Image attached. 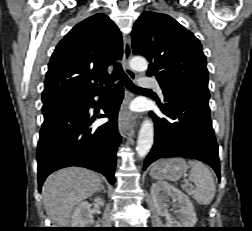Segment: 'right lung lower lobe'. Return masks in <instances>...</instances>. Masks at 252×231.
Listing matches in <instances>:
<instances>
[{"mask_svg":"<svg viewBox=\"0 0 252 231\" xmlns=\"http://www.w3.org/2000/svg\"><path fill=\"white\" fill-rule=\"evenodd\" d=\"M100 91L76 97L73 104L59 112L44 117L37 147L39 190L52 172L69 166H81L102 173L114 183L116 151L120 143L117 115L123 99L119 83L102 107L109 121L98 128H90L89 108Z\"/></svg>","mask_w":252,"mask_h":231,"instance_id":"98d812e1","label":"right lung lower lobe"}]
</instances>
